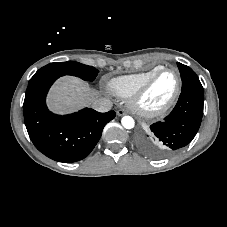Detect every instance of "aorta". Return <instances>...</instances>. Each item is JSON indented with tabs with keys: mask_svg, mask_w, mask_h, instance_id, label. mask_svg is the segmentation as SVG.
Instances as JSON below:
<instances>
[{
	"mask_svg": "<svg viewBox=\"0 0 227 227\" xmlns=\"http://www.w3.org/2000/svg\"><path fill=\"white\" fill-rule=\"evenodd\" d=\"M121 123L126 129H132L135 125L134 119L130 116H124L121 120Z\"/></svg>",
	"mask_w": 227,
	"mask_h": 227,
	"instance_id": "obj_1",
	"label": "aorta"
}]
</instances>
